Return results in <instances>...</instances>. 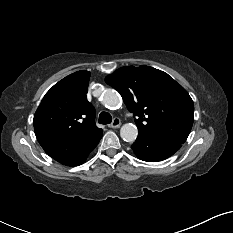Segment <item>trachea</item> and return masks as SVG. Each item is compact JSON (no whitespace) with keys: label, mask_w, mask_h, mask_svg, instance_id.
Segmentation results:
<instances>
[{"label":"trachea","mask_w":233,"mask_h":233,"mask_svg":"<svg viewBox=\"0 0 233 233\" xmlns=\"http://www.w3.org/2000/svg\"><path fill=\"white\" fill-rule=\"evenodd\" d=\"M112 122V117L107 112H101L99 115V123L100 124H109Z\"/></svg>","instance_id":"1"}]
</instances>
